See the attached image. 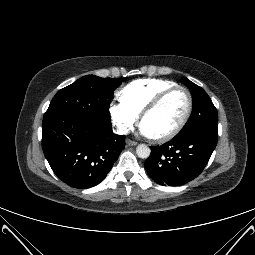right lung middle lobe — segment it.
<instances>
[{
  "label": "right lung middle lobe",
  "mask_w": 255,
  "mask_h": 255,
  "mask_svg": "<svg viewBox=\"0 0 255 255\" xmlns=\"http://www.w3.org/2000/svg\"><path fill=\"white\" fill-rule=\"evenodd\" d=\"M120 84L119 80L113 78L84 76L56 93L44 118L77 115L101 127L111 126L109 103L113 91Z\"/></svg>",
  "instance_id": "obj_1"
}]
</instances>
